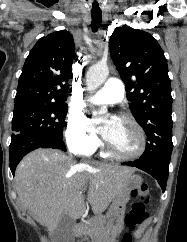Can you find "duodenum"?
Returning <instances> with one entry per match:
<instances>
[{
	"label": "duodenum",
	"instance_id": "duodenum-1",
	"mask_svg": "<svg viewBox=\"0 0 187 242\" xmlns=\"http://www.w3.org/2000/svg\"><path fill=\"white\" fill-rule=\"evenodd\" d=\"M81 231H82V224L81 223L75 224L74 227H73V232L76 235H80L81 234Z\"/></svg>",
	"mask_w": 187,
	"mask_h": 242
}]
</instances>
